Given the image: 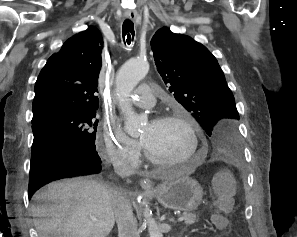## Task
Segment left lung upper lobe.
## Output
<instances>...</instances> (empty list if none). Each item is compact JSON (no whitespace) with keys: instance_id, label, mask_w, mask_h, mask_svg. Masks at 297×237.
<instances>
[{"instance_id":"obj_1","label":"left lung upper lobe","mask_w":297,"mask_h":237,"mask_svg":"<svg viewBox=\"0 0 297 237\" xmlns=\"http://www.w3.org/2000/svg\"><path fill=\"white\" fill-rule=\"evenodd\" d=\"M151 47L164 83L210 137L211 152L217 157H240L239 114L213 54L189 36L166 27L154 34Z\"/></svg>"}]
</instances>
